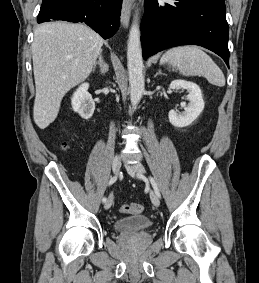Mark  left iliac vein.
<instances>
[{"label":"left iliac vein","mask_w":259,"mask_h":283,"mask_svg":"<svg viewBox=\"0 0 259 283\" xmlns=\"http://www.w3.org/2000/svg\"><path fill=\"white\" fill-rule=\"evenodd\" d=\"M125 167H126L128 173L131 176H134L135 174H138V175H140V176L145 178L144 175H145L146 171H145L144 166L141 163L126 164ZM150 198H151V201H152L154 206H156V207L160 206V199L156 195L155 192H153V191L150 192Z\"/></svg>","instance_id":"obj_1"}]
</instances>
